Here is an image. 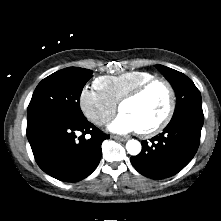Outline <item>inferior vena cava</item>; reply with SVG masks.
<instances>
[{
  "label": "inferior vena cava",
  "instance_id": "1",
  "mask_svg": "<svg viewBox=\"0 0 221 221\" xmlns=\"http://www.w3.org/2000/svg\"><path fill=\"white\" fill-rule=\"evenodd\" d=\"M101 121H102V122H105V120H104V119H101Z\"/></svg>",
  "mask_w": 221,
  "mask_h": 221
}]
</instances>
